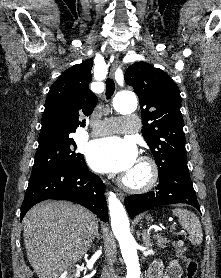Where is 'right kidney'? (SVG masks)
<instances>
[{
  "mask_svg": "<svg viewBox=\"0 0 221 278\" xmlns=\"http://www.w3.org/2000/svg\"><path fill=\"white\" fill-rule=\"evenodd\" d=\"M80 275V266H70L59 278H78Z\"/></svg>",
  "mask_w": 221,
  "mask_h": 278,
  "instance_id": "1",
  "label": "right kidney"
}]
</instances>
